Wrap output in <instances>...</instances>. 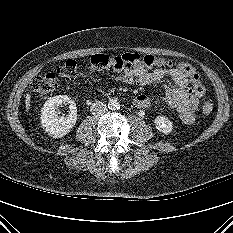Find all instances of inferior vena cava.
Segmentation results:
<instances>
[{"label":"inferior vena cava","instance_id":"inferior-vena-cava-1","mask_svg":"<svg viewBox=\"0 0 233 233\" xmlns=\"http://www.w3.org/2000/svg\"><path fill=\"white\" fill-rule=\"evenodd\" d=\"M90 110L94 115H103L107 112L108 107L105 103L101 101H96L92 104Z\"/></svg>","mask_w":233,"mask_h":233}]
</instances>
